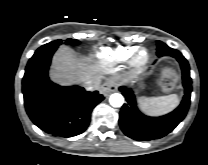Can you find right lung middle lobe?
<instances>
[{"label":"right lung middle lobe","mask_w":208,"mask_h":165,"mask_svg":"<svg viewBox=\"0 0 208 165\" xmlns=\"http://www.w3.org/2000/svg\"><path fill=\"white\" fill-rule=\"evenodd\" d=\"M66 43H67V44H71V45H77L79 42H78V40L68 39V40L66 41ZM61 44H62V40H55V41H52V42H50V43H47V44L41 46V47L35 52V54H39V53H41V52H43V51H45V50H47V49H50V48H52V47H57V46H59V45H61Z\"/></svg>","instance_id":"dd1d6c3e"}]
</instances>
